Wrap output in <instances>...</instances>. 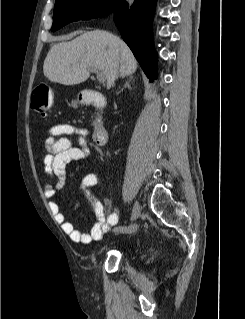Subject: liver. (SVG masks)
I'll list each match as a JSON object with an SVG mask.
<instances>
[{"mask_svg": "<svg viewBox=\"0 0 245 319\" xmlns=\"http://www.w3.org/2000/svg\"><path fill=\"white\" fill-rule=\"evenodd\" d=\"M92 68L104 73L109 88L118 75L135 73L137 61L119 37L94 30L54 44L45 58L43 72L50 81L71 86L86 81Z\"/></svg>", "mask_w": 245, "mask_h": 319, "instance_id": "obj_1", "label": "liver"}]
</instances>
